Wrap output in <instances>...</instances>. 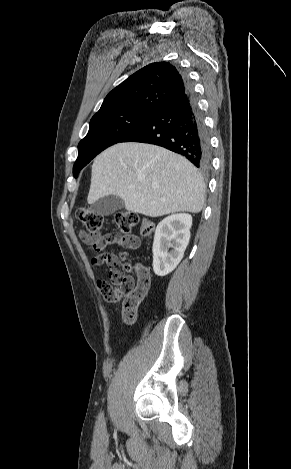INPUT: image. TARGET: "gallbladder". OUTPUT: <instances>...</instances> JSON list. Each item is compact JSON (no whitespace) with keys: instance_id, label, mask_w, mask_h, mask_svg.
<instances>
[{"instance_id":"bac80fb5","label":"gallbladder","mask_w":291,"mask_h":469,"mask_svg":"<svg viewBox=\"0 0 291 469\" xmlns=\"http://www.w3.org/2000/svg\"><path fill=\"white\" fill-rule=\"evenodd\" d=\"M123 208L124 201L116 195L99 198L91 205L92 212L101 216H109Z\"/></svg>"}]
</instances>
